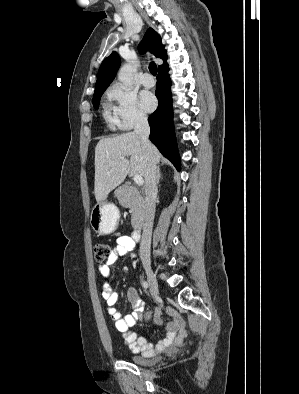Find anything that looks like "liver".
I'll return each mask as SVG.
<instances>
[{
	"instance_id": "liver-1",
	"label": "liver",
	"mask_w": 299,
	"mask_h": 394,
	"mask_svg": "<svg viewBox=\"0 0 299 394\" xmlns=\"http://www.w3.org/2000/svg\"><path fill=\"white\" fill-rule=\"evenodd\" d=\"M153 157L159 163L161 154L152 145ZM130 156V160L126 157ZM94 193L97 202L119 186L127 175H145V152L134 132L102 138L95 147Z\"/></svg>"
}]
</instances>
